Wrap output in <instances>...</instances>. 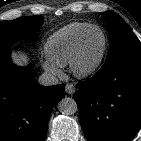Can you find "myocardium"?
Segmentation results:
<instances>
[{"mask_svg": "<svg viewBox=\"0 0 141 141\" xmlns=\"http://www.w3.org/2000/svg\"><path fill=\"white\" fill-rule=\"evenodd\" d=\"M93 30H98L102 34L103 47H102V50L98 58L92 64L88 66H83L81 63V59H82V54H83V49H84V43H85V40L88 34ZM107 48H108V38L104 30L100 28L99 26H95V25H92L89 28H87L82 33V35L80 36L78 40L75 52L73 54V57L70 63V68L73 74L79 78H86V77H89L95 74L99 70V68L101 67L104 61V58L107 52Z\"/></svg>", "mask_w": 141, "mask_h": 141, "instance_id": "obj_1", "label": "myocardium"}]
</instances>
